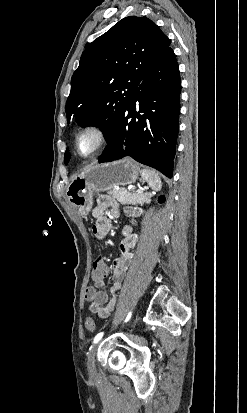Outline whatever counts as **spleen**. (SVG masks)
Masks as SVG:
<instances>
[{"mask_svg":"<svg viewBox=\"0 0 247 413\" xmlns=\"http://www.w3.org/2000/svg\"><path fill=\"white\" fill-rule=\"evenodd\" d=\"M140 172L143 180H147L149 186H151L153 190H160L161 178L158 176V172H155V170H148V168H142Z\"/></svg>","mask_w":247,"mask_h":413,"instance_id":"1","label":"spleen"}]
</instances>
